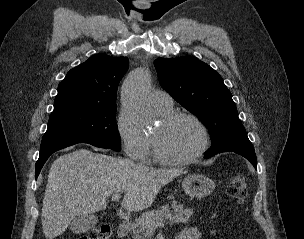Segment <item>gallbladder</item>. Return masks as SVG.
Listing matches in <instances>:
<instances>
[{
	"instance_id": "obj_1",
	"label": "gallbladder",
	"mask_w": 304,
	"mask_h": 239,
	"mask_svg": "<svg viewBox=\"0 0 304 239\" xmlns=\"http://www.w3.org/2000/svg\"><path fill=\"white\" fill-rule=\"evenodd\" d=\"M97 223V218L90 214L77 216L70 223V230L75 234H82L92 229Z\"/></svg>"
}]
</instances>
